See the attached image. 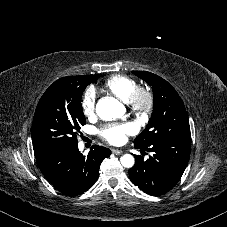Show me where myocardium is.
Masks as SVG:
<instances>
[{
    "instance_id": "obj_1",
    "label": "myocardium",
    "mask_w": 227,
    "mask_h": 227,
    "mask_svg": "<svg viewBox=\"0 0 227 227\" xmlns=\"http://www.w3.org/2000/svg\"><path fill=\"white\" fill-rule=\"evenodd\" d=\"M124 104L131 114L143 120L148 117L153 109V93L148 87H137Z\"/></svg>"
}]
</instances>
